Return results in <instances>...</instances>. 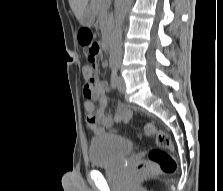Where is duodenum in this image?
Returning <instances> with one entry per match:
<instances>
[{
    "mask_svg": "<svg viewBox=\"0 0 223 191\" xmlns=\"http://www.w3.org/2000/svg\"><path fill=\"white\" fill-rule=\"evenodd\" d=\"M111 46V31L109 30L104 37V47L106 51L110 50Z\"/></svg>",
    "mask_w": 223,
    "mask_h": 191,
    "instance_id": "410a0bca",
    "label": "duodenum"
}]
</instances>
